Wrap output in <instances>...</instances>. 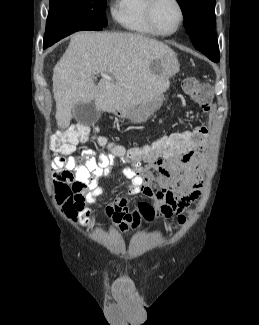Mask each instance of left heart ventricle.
Masks as SVG:
<instances>
[{
  "instance_id": "b2bd125f",
  "label": "left heart ventricle",
  "mask_w": 259,
  "mask_h": 325,
  "mask_svg": "<svg viewBox=\"0 0 259 325\" xmlns=\"http://www.w3.org/2000/svg\"><path fill=\"white\" fill-rule=\"evenodd\" d=\"M154 20L163 32H171L179 20V11L172 0H158L154 8Z\"/></svg>"
}]
</instances>
